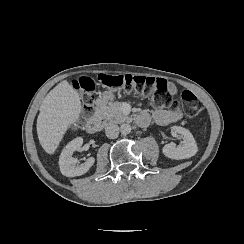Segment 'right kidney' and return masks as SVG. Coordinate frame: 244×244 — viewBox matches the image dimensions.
<instances>
[{
  "label": "right kidney",
  "instance_id": "1",
  "mask_svg": "<svg viewBox=\"0 0 244 244\" xmlns=\"http://www.w3.org/2000/svg\"><path fill=\"white\" fill-rule=\"evenodd\" d=\"M83 139L76 138L71 141L62 151L59 161L60 171L62 175L66 177L81 176L89 171V169L94 165L95 158H88L84 164L79 166H74L76 160L73 159V153L79 151L82 147Z\"/></svg>",
  "mask_w": 244,
  "mask_h": 244
}]
</instances>
